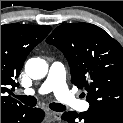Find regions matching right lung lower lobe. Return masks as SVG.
<instances>
[{
  "mask_svg": "<svg viewBox=\"0 0 123 123\" xmlns=\"http://www.w3.org/2000/svg\"><path fill=\"white\" fill-rule=\"evenodd\" d=\"M45 113L40 108L20 106L1 112V123H41Z\"/></svg>",
  "mask_w": 123,
  "mask_h": 123,
  "instance_id": "1",
  "label": "right lung lower lobe"
}]
</instances>
